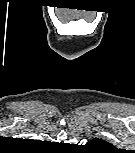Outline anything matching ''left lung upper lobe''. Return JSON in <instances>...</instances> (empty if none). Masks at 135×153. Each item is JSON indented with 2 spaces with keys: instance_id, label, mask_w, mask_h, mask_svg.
Listing matches in <instances>:
<instances>
[{
  "instance_id": "5c2ea615",
  "label": "left lung upper lobe",
  "mask_w": 135,
  "mask_h": 153,
  "mask_svg": "<svg viewBox=\"0 0 135 153\" xmlns=\"http://www.w3.org/2000/svg\"><path fill=\"white\" fill-rule=\"evenodd\" d=\"M89 146L91 147H94V148H97V149H104V148H110V144L102 139H98V138H95L93 140H91L89 143H88Z\"/></svg>"
}]
</instances>
